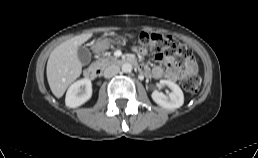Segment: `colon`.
I'll list each match as a JSON object with an SVG mask.
<instances>
[{"mask_svg":"<svg viewBox=\"0 0 258 158\" xmlns=\"http://www.w3.org/2000/svg\"><path fill=\"white\" fill-rule=\"evenodd\" d=\"M134 39L142 50L151 51L157 55H170L185 62L192 58V51L189 47L167 35L142 32ZM200 85L201 79L196 74L187 76L183 81V88L189 93L198 92Z\"/></svg>","mask_w":258,"mask_h":158,"instance_id":"colon-1","label":"colon"}]
</instances>
